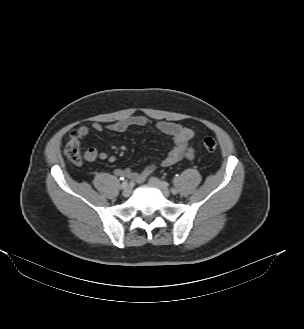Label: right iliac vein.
Segmentation results:
<instances>
[{
	"label": "right iliac vein",
	"mask_w": 304,
	"mask_h": 329,
	"mask_svg": "<svg viewBox=\"0 0 304 329\" xmlns=\"http://www.w3.org/2000/svg\"><path fill=\"white\" fill-rule=\"evenodd\" d=\"M131 192H132V188L130 186H126L123 189L122 194H123L124 197H128V196H130Z\"/></svg>",
	"instance_id": "63e3f726"
}]
</instances>
